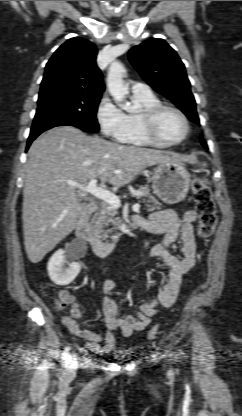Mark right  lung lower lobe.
Masks as SVG:
<instances>
[{
  "instance_id": "right-lung-lower-lobe-1",
  "label": "right lung lower lobe",
  "mask_w": 242,
  "mask_h": 416,
  "mask_svg": "<svg viewBox=\"0 0 242 416\" xmlns=\"http://www.w3.org/2000/svg\"><path fill=\"white\" fill-rule=\"evenodd\" d=\"M62 125H71V126H75V127L79 128V129L83 130V127H82L81 124L75 123L73 121H65V122H60V123L53 124V125H48V126H45V127H42V128L33 129V130H31L30 136H29L28 141H27L26 151L28 150V148H29L30 144L32 143V141L38 135H40L42 132H44V131H46V130H48L50 128H53V127H56V126H62ZM83 131H85V130H83Z\"/></svg>"
}]
</instances>
